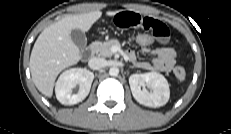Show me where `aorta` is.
<instances>
[{
	"mask_svg": "<svg viewBox=\"0 0 231 134\" xmlns=\"http://www.w3.org/2000/svg\"><path fill=\"white\" fill-rule=\"evenodd\" d=\"M109 74L111 76H117L119 74V69L117 67H112L109 70Z\"/></svg>",
	"mask_w": 231,
	"mask_h": 134,
	"instance_id": "obj_1",
	"label": "aorta"
}]
</instances>
